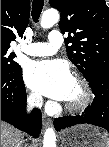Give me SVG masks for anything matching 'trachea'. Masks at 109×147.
Returning <instances> with one entry per match:
<instances>
[{
	"instance_id": "3493384b",
	"label": "trachea",
	"mask_w": 109,
	"mask_h": 147,
	"mask_svg": "<svg viewBox=\"0 0 109 147\" xmlns=\"http://www.w3.org/2000/svg\"><path fill=\"white\" fill-rule=\"evenodd\" d=\"M44 0H34L32 5V17L35 22L38 21L42 12Z\"/></svg>"
}]
</instances>
